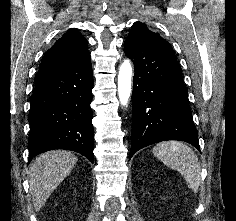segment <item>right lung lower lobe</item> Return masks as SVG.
<instances>
[{
  "instance_id": "98d812e1",
  "label": "right lung lower lobe",
  "mask_w": 236,
  "mask_h": 221,
  "mask_svg": "<svg viewBox=\"0 0 236 221\" xmlns=\"http://www.w3.org/2000/svg\"><path fill=\"white\" fill-rule=\"evenodd\" d=\"M92 88L91 61L37 76L28 116L29 162L53 149L72 150L93 162Z\"/></svg>"
}]
</instances>
